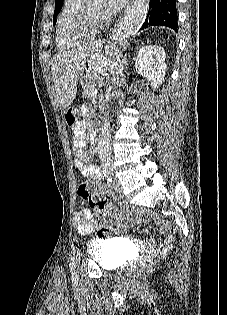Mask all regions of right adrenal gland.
<instances>
[{"label": "right adrenal gland", "mask_w": 227, "mask_h": 315, "mask_svg": "<svg viewBox=\"0 0 227 315\" xmlns=\"http://www.w3.org/2000/svg\"><path fill=\"white\" fill-rule=\"evenodd\" d=\"M125 65H127V61H126V58H125Z\"/></svg>", "instance_id": "2a0ac1e0"}]
</instances>
